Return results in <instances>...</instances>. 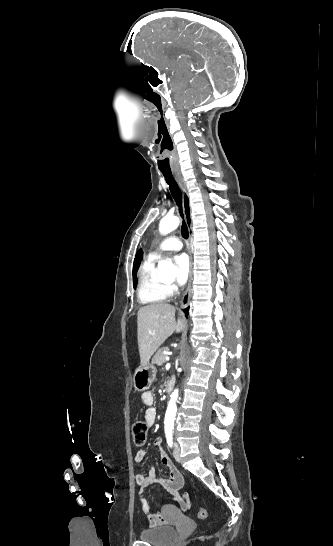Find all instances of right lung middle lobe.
<instances>
[{
  "mask_svg": "<svg viewBox=\"0 0 333 546\" xmlns=\"http://www.w3.org/2000/svg\"><path fill=\"white\" fill-rule=\"evenodd\" d=\"M137 269H138V264L135 263V264L133 265V280H134L133 285H134V288H136L135 273H136V270H137Z\"/></svg>",
  "mask_w": 333,
  "mask_h": 546,
  "instance_id": "dd1d6c3e",
  "label": "right lung middle lobe"
}]
</instances>
